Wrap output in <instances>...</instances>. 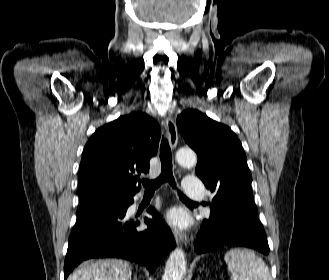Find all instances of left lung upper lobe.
Returning <instances> with one entry per match:
<instances>
[{"mask_svg": "<svg viewBox=\"0 0 329 280\" xmlns=\"http://www.w3.org/2000/svg\"><path fill=\"white\" fill-rule=\"evenodd\" d=\"M177 125L198 155L197 176L215 193L211 209H221L235 197L250 195L252 176L247 158L241 142L228 126L195 109L183 111Z\"/></svg>", "mask_w": 329, "mask_h": 280, "instance_id": "5c2ea615", "label": "left lung upper lobe"}]
</instances>
